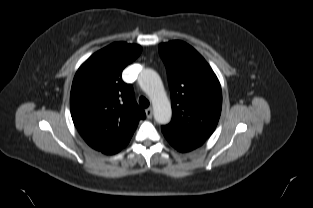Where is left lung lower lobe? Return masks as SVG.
I'll return each instance as SVG.
<instances>
[{"instance_id": "1", "label": "left lung lower lobe", "mask_w": 313, "mask_h": 208, "mask_svg": "<svg viewBox=\"0 0 313 208\" xmlns=\"http://www.w3.org/2000/svg\"><path fill=\"white\" fill-rule=\"evenodd\" d=\"M164 134V133H163ZM164 136L166 137V139L168 140V142L178 151L180 152H187V151H191L199 146L197 145H193V144H189L186 142H182L180 140L174 139L166 134H164Z\"/></svg>"}]
</instances>
